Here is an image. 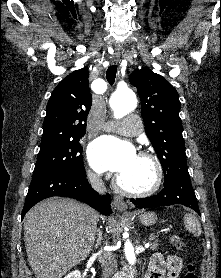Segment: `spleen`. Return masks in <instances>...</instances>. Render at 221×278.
Returning <instances> with one entry per match:
<instances>
[{
    "label": "spleen",
    "mask_w": 221,
    "mask_h": 278,
    "mask_svg": "<svg viewBox=\"0 0 221 278\" xmlns=\"http://www.w3.org/2000/svg\"><path fill=\"white\" fill-rule=\"evenodd\" d=\"M184 224L186 229L195 237H199L201 235V225L194 215L190 213L186 214L184 217Z\"/></svg>",
    "instance_id": "obj_1"
}]
</instances>
